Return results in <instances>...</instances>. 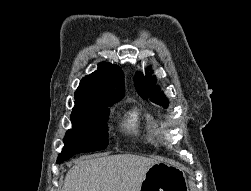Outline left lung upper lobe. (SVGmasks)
<instances>
[{
  "label": "left lung upper lobe",
  "instance_id": "1",
  "mask_svg": "<svg viewBox=\"0 0 251 191\" xmlns=\"http://www.w3.org/2000/svg\"><path fill=\"white\" fill-rule=\"evenodd\" d=\"M146 76L144 77L142 73L137 72L134 77V84L137 92L144 99H148L156 104H162L163 107L168 106V100L165 95L159 91L158 87L155 86V76H151L149 70L146 71Z\"/></svg>",
  "mask_w": 251,
  "mask_h": 191
}]
</instances>
